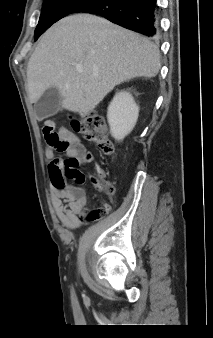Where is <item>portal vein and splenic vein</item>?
I'll return each mask as SVG.
<instances>
[{"instance_id": "obj_1", "label": "portal vein and splenic vein", "mask_w": 213, "mask_h": 338, "mask_svg": "<svg viewBox=\"0 0 213 338\" xmlns=\"http://www.w3.org/2000/svg\"><path fill=\"white\" fill-rule=\"evenodd\" d=\"M76 70H77L78 73L83 72V68L81 66H76Z\"/></svg>"}]
</instances>
